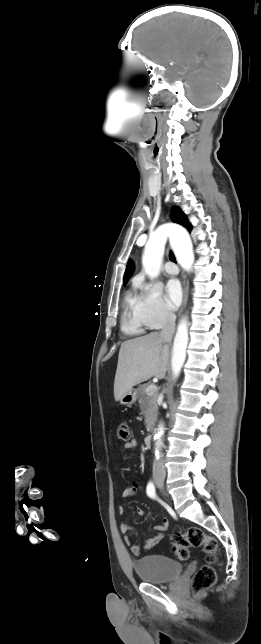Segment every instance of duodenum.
<instances>
[{"mask_svg": "<svg viewBox=\"0 0 261 644\" xmlns=\"http://www.w3.org/2000/svg\"><path fill=\"white\" fill-rule=\"evenodd\" d=\"M152 440H153L152 435L145 436V438H144L145 447L149 448L151 446V444H152Z\"/></svg>", "mask_w": 261, "mask_h": 644, "instance_id": "obj_1", "label": "duodenum"}]
</instances>
